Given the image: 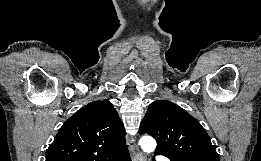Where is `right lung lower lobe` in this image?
I'll list each match as a JSON object with an SVG mask.
<instances>
[{"instance_id":"98d812e1","label":"right lung lower lobe","mask_w":261,"mask_h":161,"mask_svg":"<svg viewBox=\"0 0 261 161\" xmlns=\"http://www.w3.org/2000/svg\"><path fill=\"white\" fill-rule=\"evenodd\" d=\"M100 161H131V159L129 156V152L125 151V152L115 154L111 157L104 158L103 160Z\"/></svg>"}]
</instances>
